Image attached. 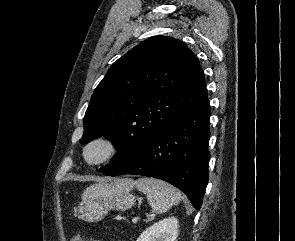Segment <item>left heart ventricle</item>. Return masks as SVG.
Wrapping results in <instances>:
<instances>
[{
    "instance_id": "left-heart-ventricle-1",
    "label": "left heart ventricle",
    "mask_w": 295,
    "mask_h": 241,
    "mask_svg": "<svg viewBox=\"0 0 295 241\" xmlns=\"http://www.w3.org/2000/svg\"><path fill=\"white\" fill-rule=\"evenodd\" d=\"M105 149L103 146H95L91 151H90V158L91 159H98L100 158L103 153H104Z\"/></svg>"
}]
</instances>
